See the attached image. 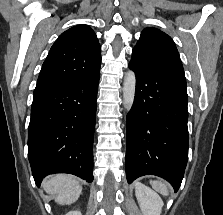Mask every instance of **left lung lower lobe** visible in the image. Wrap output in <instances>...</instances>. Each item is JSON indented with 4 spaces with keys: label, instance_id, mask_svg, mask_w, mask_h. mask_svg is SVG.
Listing matches in <instances>:
<instances>
[{
    "label": "left lung lower lobe",
    "instance_id": "0a47b994",
    "mask_svg": "<svg viewBox=\"0 0 223 215\" xmlns=\"http://www.w3.org/2000/svg\"><path fill=\"white\" fill-rule=\"evenodd\" d=\"M135 72L136 92L127 115L128 183L156 175L179 189L188 160L186 87L153 73Z\"/></svg>",
    "mask_w": 223,
    "mask_h": 215
}]
</instances>
